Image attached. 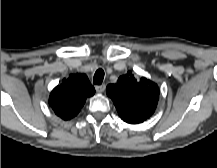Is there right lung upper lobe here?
<instances>
[{
  "label": "right lung upper lobe",
  "mask_w": 217,
  "mask_h": 168,
  "mask_svg": "<svg viewBox=\"0 0 217 168\" xmlns=\"http://www.w3.org/2000/svg\"><path fill=\"white\" fill-rule=\"evenodd\" d=\"M94 93L95 89L85 74H72L52 90L49 104L57 116L69 120L78 114L86 98Z\"/></svg>",
  "instance_id": "obj_1"
}]
</instances>
